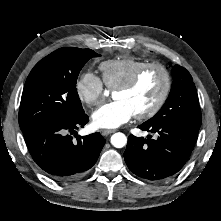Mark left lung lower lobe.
I'll use <instances>...</instances> for the list:
<instances>
[{"instance_id":"left-lung-lower-lobe-1","label":"left lung lower lobe","mask_w":221,"mask_h":221,"mask_svg":"<svg viewBox=\"0 0 221 221\" xmlns=\"http://www.w3.org/2000/svg\"><path fill=\"white\" fill-rule=\"evenodd\" d=\"M138 128L158 137L151 139L148 135L144 139L130 135L124 158L132 173L150 181H163L176 175L188 161L198 138V133L175 122L146 121Z\"/></svg>"}]
</instances>
